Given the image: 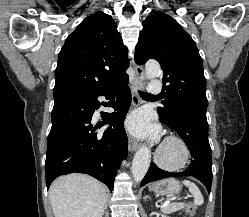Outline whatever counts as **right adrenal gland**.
Listing matches in <instances>:
<instances>
[{
    "label": "right adrenal gland",
    "mask_w": 249,
    "mask_h": 217,
    "mask_svg": "<svg viewBox=\"0 0 249 217\" xmlns=\"http://www.w3.org/2000/svg\"><path fill=\"white\" fill-rule=\"evenodd\" d=\"M107 203H108V201L106 200V204H105V207H104V210H103V214L105 213V210L107 209Z\"/></svg>",
    "instance_id": "right-adrenal-gland-1"
}]
</instances>
